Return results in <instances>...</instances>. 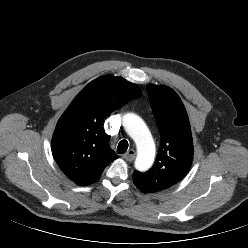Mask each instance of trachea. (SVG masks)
I'll return each mask as SVG.
<instances>
[{"mask_svg": "<svg viewBox=\"0 0 248 248\" xmlns=\"http://www.w3.org/2000/svg\"><path fill=\"white\" fill-rule=\"evenodd\" d=\"M128 141L127 140H121L117 146V153L118 154H124L128 149Z\"/></svg>", "mask_w": 248, "mask_h": 248, "instance_id": "obj_1", "label": "trachea"}]
</instances>
